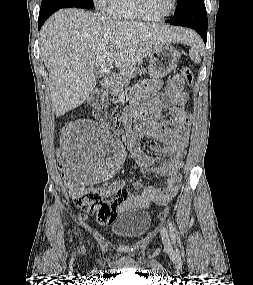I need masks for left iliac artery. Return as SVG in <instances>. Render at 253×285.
<instances>
[{"instance_id": "1", "label": "left iliac artery", "mask_w": 253, "mask_h": 285, "mask_svg": "<svg viewBox=\"0 0 253 285\" xmlns=\"http://www.w3.org/2000/svg\"><path fill=\"white\" fill-rule=\"evenodd\" d=\"M168 228H169V232H170V236L172 240L175 241V238H176L175 227L173 226L170 220H168Z\"/></svg>"}]
</instances>
